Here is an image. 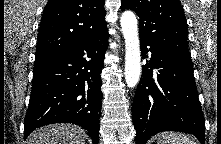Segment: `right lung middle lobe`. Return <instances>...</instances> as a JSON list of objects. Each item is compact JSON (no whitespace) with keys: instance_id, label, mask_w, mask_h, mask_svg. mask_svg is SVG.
<instances>
[{"instance_id":"1","label":"right lung middle lobe","mask_w":221,"mask_h":144,"mask_svg":"<svg viewBox=\"0 0 221 144\" xmlns=\"http://www.w3.org/2000/svg\"><path fill=\"white\" fill-rule=\"evenodd\" d=\"M52 57L53 56H50V55H38V56H35V63H34V65L42 63L44 61H47V60H49Z\"/></svg>"}]
</instances>
